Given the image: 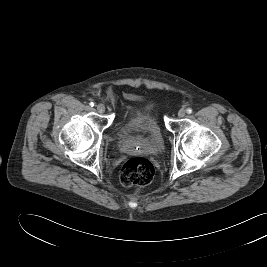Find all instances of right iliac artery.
Here are the masks:
<instances>
[{"mask_svg":"<svg viewBox=\"0 0 267 267\" xmlns=\"http://www.w3.org/2000/svg\"><path fill=\"white\" fill-rule=\"evenodd\" d=\"M89 105H90L91 107H93V106H94V103H93V102H90Z\"/></svg>","mask_w":267,"mask_h":267,"instance_id":"82829eb1","label":"right iliac artery"}]
</instances>
